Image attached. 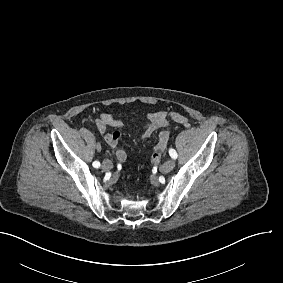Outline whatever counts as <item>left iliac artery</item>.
<instances>
[{"instance_id": "1", "label": "left iliac artery", "mask_w": 283, "mask_h": 283, "mask_svg": "<svg viewBox=\"0 0 283 283\" xmlns=\"http://www.w3.org/2000/svg\"><path fill=\"white\" fill-rule=\"evenodd\" d=\"M169 155L173 158L176 159L177 158V153L174 149H169Z\"/></svg>"}]
</instances>
